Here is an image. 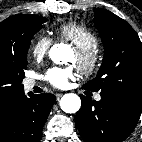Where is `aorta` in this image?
<instances>
[{"instance_id": "1", "label": "aorta", "mask_w": 142, "mask_h": 142, "mask_svg": "<svg viewBox=\"0 0 142 142\" xmlns=\"http://www.w3.org/2000/svg\"><path fill=\"white\" fill-rule=\"evenodd\" d=\"M71 52V48L63 43L55 44L49 52L50 59L56 64L66 62L67 55ZM60 107L66 113H75L81 107V99L74 93L65 94L60 100Z\"/></svg>"}]
</instances>
